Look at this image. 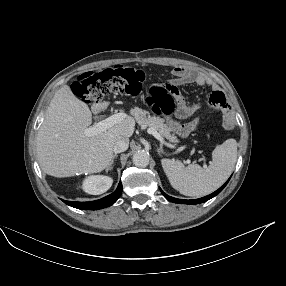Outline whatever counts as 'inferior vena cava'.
<instances>
[{"instance_id":"1","label":"inferior vena cava","mask_w":286,"mask_h":286,"mask_svg":"<svg viewBox=\"0 0 286 286\" xmlns=\"http://www.w3.org/2000/svg\"><path fill=\"white\" fill-rule=\"evenodd\" d=\"M129 145V139L125 137L118 138L113 146L115 153H121L127 150Z\"/></svg>"}]
</instances>
